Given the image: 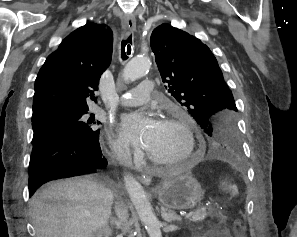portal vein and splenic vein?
<instances>
[{"label":"portal vein and splenic vein","mask_w":297,"mask_h":237,"mask_svg":"<svg viewBox=\"0 0 297 237\" xmlns=\"http://www.w3.org/2000/svg\"><path fill=\"white\" fill-rule=\"evenodd\" d=\"M189 216H191V212L188 214H185V217L188 218Z\"/></svg>","instance_id":"18ae733b"}]
</instances>
